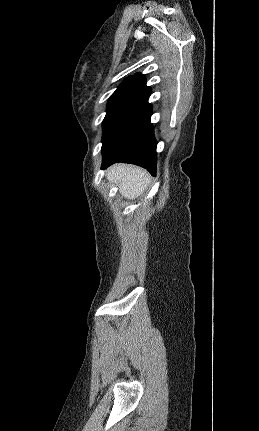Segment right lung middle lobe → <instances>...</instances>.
I'll return each mask as SVG.
<instances>
[{
  "label": "right lung middle lobe",
  "instance_id": "obj_1",
  "mask_svg": "<svg viewBox=\"0 0 259 431\" xmlns=\"http://www.w3.org/2000/svg\"><path fill=\"white\" fill-rule=\"evenodd\" d=\"M150 93V90L129 87L121 92H114L110 96L106 116L102 123V142L135 106L150 96Z\"/></svg>",
  "mask_w": 259,
  "mask_h": 431
}]
</instances>
